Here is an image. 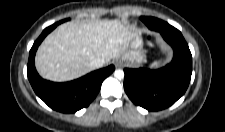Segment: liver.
I'll use <instances>...</instances> for the list:
<instances>
[{
    "label": "liver",
    "instance_id": "1",
    "mask_svg": "<svg viewBox=\"0 0 225 132\" xmlns=\"http://www.w3.org/2000/svg\"><path fill=\"white\" fill-rule=\"evenodd\" d=\"M136 36V31L118 19L67 22L44 39L37 50L35 65L47 80H73L92 70L90 62L94 58L109 63L120 57Z\"/></svg>",
    "mask_w": 225,
    "mask_h": 132
}]
</instances>
